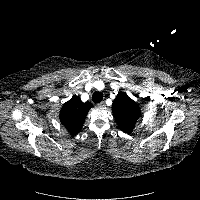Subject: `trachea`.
<instances>
[{"label":"trachea","mask_w":200,"mask_h":200,"mask_svg":"<svg viewBox=\"0 0 200 200\" xmlns=\"http://www.w3.org/2000/svg\"><path fill=\"white\" fill-rule=\"evenodd\" d=\"M103 99V94L101 92H95L92 95V100L94 103H100Z\"/></svg>","instance_id":"trachea-1"}]
</instances>
